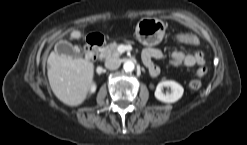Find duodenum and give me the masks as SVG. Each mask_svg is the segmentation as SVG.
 <instances>
[{
	"label": "duodenum",
	"instance_id": "410a0bca",
	"mask_svg": "<svg viewBox=\"0 0 247 145\" xmlns=\"http://www.w3.org/2000/svg\"><path fill=\"white\" fill-rule=\"evenodd\" d=\"M104 39L100 35H94L87 41L86 56L89 59H96L98 57L99 48L103 45Z\"/></svg>",
	"mask_w": 247,
	"mask_h": 145
}]
</instances>
